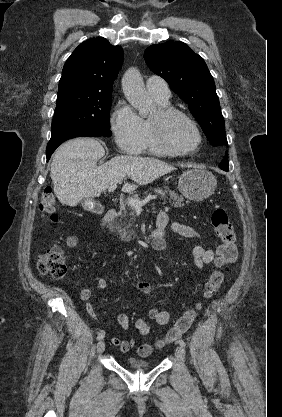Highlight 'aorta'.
I'll return each instance as SVG.
<instances>
[{
  "mask_svg": "<svg viewBox=\"0 0 282 417\" xmlns=\"http://www.w3.org/2000/svg\"><path fill=\"white\" fill-rule=\"evenodd\" d=\"M122 88L123 92L130 104L139 110L142 118H147L148 114H151L155 110L152 98H150L143 78L138 68H128L122 76Z\"/></svg>",
  "mask_w": 282,
  "mask_h": 417,
  "instance_id": "1",
  "label": "aorta"
}]
</instances>
